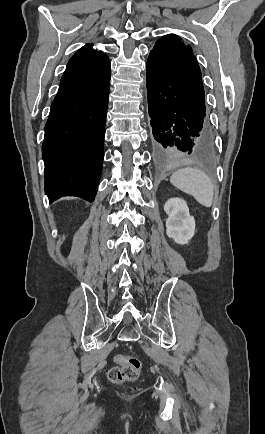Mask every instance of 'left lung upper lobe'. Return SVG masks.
Wrapping results in <instances>:
<instances>
[{
    "label": "left lung upper lobe",
    "mask_w": 265,
    "mask_h": 434,
    "mask_svg": "<svg viewBox=\"0 0 265 434\" xmlns=\"http://www.w3.org/2000/svg\"><path fill=\"white\" fill-rule=\"evenodd\" d=\"M150 55L156 56L173 70L202 100H205L201 70L190 46L175 34L161 37Z\"/></svg>",
    "instance_id": "obj_1"
}]
</instances>
